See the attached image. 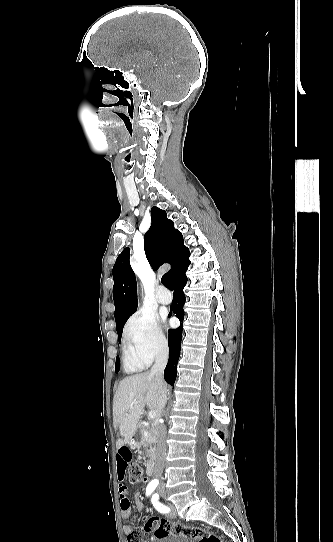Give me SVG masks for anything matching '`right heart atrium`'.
Masks as SVG:
<instances>
[{"label": "right heart atrium", "instance_id": "right-heart-atrium-1", "mask_svg": "<svg viewBox=\"0 0 333 542\" xmlns=\"http://www.w3.org/2000/svg\"><path fill=\"white\" fill-rule=\"evenodd\" d=\"M125 343L140 348L150 358L163 355L168 349V335L164 324L155 316L137 312L125 325Z\"/></svg>", "mask_w": 333, "mask_h": 542}]
</instances>
